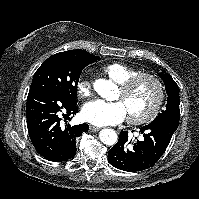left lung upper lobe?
Segmentation results:
<instances>
[{
    "label": "left lung upper lobe",
    "mask_w": 199,
    "mask_h": 199,
    "mask_svg": "<svg viewBox=\"0 0 199 199\" xmlns=\"http://www.w3.org/2000/svg\"><path fill=\"white\" fill-rule=\"evenodd\" d=\"M160 78L164 82L168 98L165 110L159 113L153 121H166L179 125V87L169 74L161 73Z\"/></svg>",
    "instance_id": "obj_1"
}]
</instances>
